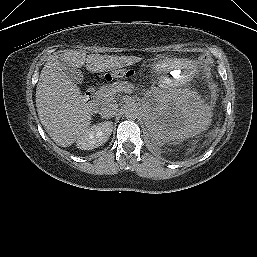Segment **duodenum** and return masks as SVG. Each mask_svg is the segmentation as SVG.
<instances>
[{
    "label": "duodenum",
    "instance_id": "410a0bca",
    "mask_svg": "<svg viewBox=\"0 0 257 257\" xmlns=\"http://www.w3.org/2000/svg\"><path fill=\"white\" fill-rule=\"evenodd\" d=\"M85 104L89 111H94L96 108L94 89L90 88L85 93Z\"/></svg>",
    "mask_w": 257,
    "mask_h": 257
}]
</instances>
